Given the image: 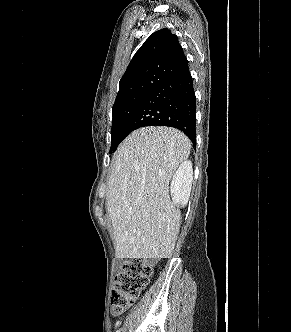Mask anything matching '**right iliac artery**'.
<instances>
[{
	"label": "right iliac artery",
	"mask_w": 291,
	"mask_h": 332,
	"mask_svg": "<svg viewBox=\"0 0 291 332\" xmlns=\"http://www.w3.org/2000/svg\"><path fill=\"white\" fill-rule=\"evenodd\" d=\"M116 332H120V329H119V330H117Z\"/></svg>",
	"instance_id": "right-iliac-artery-1"
}]
</instances>
